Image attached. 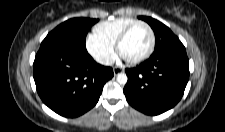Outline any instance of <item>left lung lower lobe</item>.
Returning a JSON list of instances; mask_svg holds the SVG:
<instances>
[{
    "instance_id": "0a47b994",
    "label": "left lung lower lobe",
    "mask_w": 225,
    "mask_h": 132,
    "mask_svg": "<svg viewBox=\"0 0 225 132\" xmlns=\"http://www.w3.org/2000/svg\"><path fill=\"white\" fill-rule=\"evenodd\" d=\"M125 72L128 81L123 91L128 103L147 115H158L182 98L189 79V60L185 47H177Z\"/></svg>"
}]
</instances>
